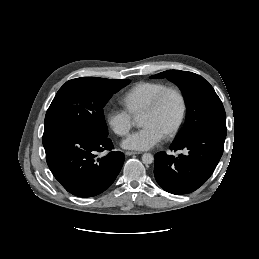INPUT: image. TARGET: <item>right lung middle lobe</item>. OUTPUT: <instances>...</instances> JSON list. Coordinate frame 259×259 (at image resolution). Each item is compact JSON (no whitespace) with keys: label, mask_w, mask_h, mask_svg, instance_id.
Masks as SVG:
<instances>
[{"label":"right lung middle lobe","mask_w":259,"mask_h":259,"mask_svg":"<svg viewBox=\"0 0 259 259\" xmlns=\"http://www.w3.org/2000/svg\"><path fill=\"white\" fill-rule=\"evenodd\" d=\"M130 80L81 77L67 81L49 106L44 132L73 127L108 136L103 107Z\"/></svg>","instance_id":"1"}]
</instances>
